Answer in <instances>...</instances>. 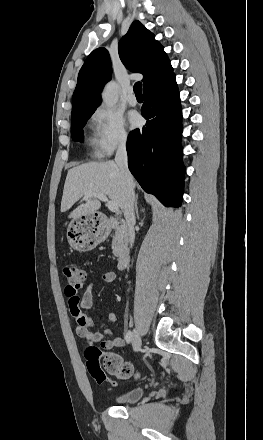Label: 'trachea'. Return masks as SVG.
Here are the masks:
<instances>
[{"label":"trachea","mask_w":263,"mask_h":440,"mask_svg":"<svg viewBox=\"0 0 263 440\" xmlns=\"http://www.w3.org/2000/svg\"><path fill=\"white\" fill-rule=\"evenodd\" d=\"M133 89H134V93L137 97H142V83L141 82H136Z\"/></svg>","instance_id":"obj_1"}]
</instances>
